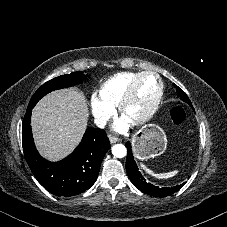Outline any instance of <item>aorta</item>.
<instances>
[{
    "mask_svg": "<svg viewBox=\"0 0 227 227\" xmlns=\"http://www.w3.org/2000/svg\"><path fill=\"white\" fill-rule=\"evenodd\" d=\"M112 154L117 158H123L127 155V149L122 144H116L112 147Z\"/></svg>",
    "mask_w": 227,
    "mask_h": 227,
    "instance_id": "1",
    "label": "aorta"
}]
</instances>
